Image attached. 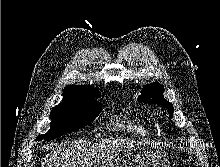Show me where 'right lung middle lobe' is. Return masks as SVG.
Wrapping results in <instances>:
<instances>
[{
  "instance_id": "dd1d6c3e",
  "label": "right lung middle lobe",
  "mask_w": 220,
  "mask_h": 167,
  "mask_svg": "<svg viewBox=\"0 0 220 167\" xmlns=\"http://www.w3.org/2000/svg\"><path fill=\"white\" fill-rule=\"evenodd\" d=\"M101 109V103L95 99L62 101L50 113L52 119L50 130L46 134L39 135L37 140H52L83 128L99 114Z\"/></svg>"
}]
</instances>
